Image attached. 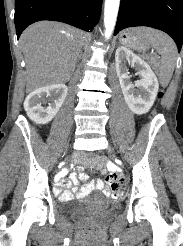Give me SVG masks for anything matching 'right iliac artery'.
<instances>
[{"mask_svg":"<svg viewBox=\"0 0 183 246\" xmlns=\"http://www.w3.org/2000/svg\"><path fill=\"white\" fill-rule=\"evenodd\" d=\"M62 174H63V172H61V173L56 177V181L61 177Z\"/></svg>","mask_w":183,"mask_h":246,"instance_id":"82829eb1","label":"right iliac artery"}]
</instances>
